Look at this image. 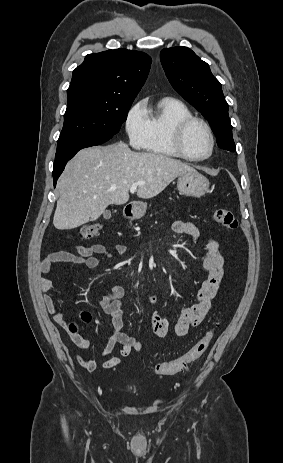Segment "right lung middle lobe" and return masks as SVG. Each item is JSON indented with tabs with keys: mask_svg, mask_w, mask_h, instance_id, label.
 Listing matches in <instances>:
<instances>
[{
	"mask_svg": "<svg viewBox=\"0 0 283 463\" xmlns=\"http://www.w3.org/2000/svg\"><path fill=\"white\" fill-rule=\"evenodd\" d=\"M133 100L87 92L69 94L57 145L83 139L111 138L126 121Z\"/></svg>",
	"mask_w": 283,
	"mask_h": 463,
	"instance_id": "right-lung-middle-lobe-1",
	"label": "right lung middle lobe"
}]
</instances>
